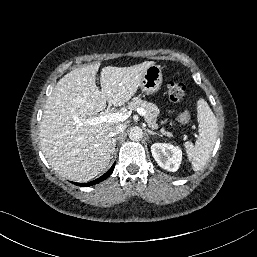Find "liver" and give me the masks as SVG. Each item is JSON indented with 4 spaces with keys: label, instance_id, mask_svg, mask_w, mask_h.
I'll list each match as a JSON object with an SVG mask.
<instances>
[{
    "label": "liver",
    "instance_id": "liver-1",
    "mask_svg": "<svg viewBox=\"0 0 257 257\" xmlns=\"http://www.w3.org/2000/svg\"><path fill=\"white\" fill-rule=\"evenodd\" d=\"M153 61L130 67L102 68L101 91L96 86L100 63L74 69L62 77L48 97L40 123V144L51 167L62 177L86 182L109 164L117 122L88 125L86 121L106 108L122 106L140 87Z\"/></svg>",
    "mask_w": 257,
    "mask_h": 257
}]
</instances>
